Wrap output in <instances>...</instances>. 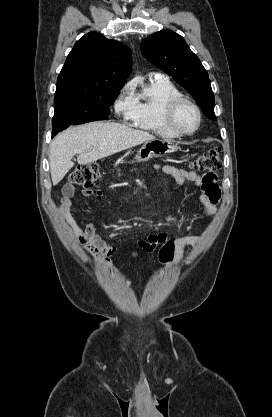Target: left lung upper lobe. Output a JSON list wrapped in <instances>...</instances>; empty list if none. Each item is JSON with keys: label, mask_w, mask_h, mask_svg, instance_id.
Masks as SVG:
<instances>
[{"label": "left lung upper lobe", "mask_w": 272, "mask_h": 417, "mask_svg": "<svg viewBox=\"0 0 272 417\" xmlns=\"http://www.w3.org/2000/svg\"><path fill=\"white\" fill-rule=\"evenodd\" d=\"M143 56L183 86L202 108L206 117L216 120L214 94L208 73L182 36L162 30L141 43Z\"/></svg>", "instance_id": "left-lung-upper-lobe-1"}]
</instances>
